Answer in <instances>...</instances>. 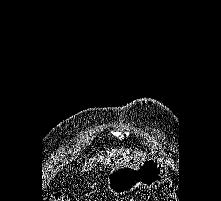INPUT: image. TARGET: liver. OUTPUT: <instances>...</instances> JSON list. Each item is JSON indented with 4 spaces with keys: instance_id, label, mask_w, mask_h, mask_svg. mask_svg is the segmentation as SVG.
<instances>
[{
    "instance_id": "obj_1",
    "label": "liver",
    "mask_w": 221,
    "mask_h": 201,
    "mask_svg": "<svg viewBox=\"0 0 221 201\" xmlns=\"http://www.w3.org/2000/svg\"><path fill=\"white\" fill-rule=\"evenodd\" d=\"M146 155L143 152L131 151L129 149L118 148L111 151L101 152L83 165V171H87L93 167L96 162H101L106 166L122 165L131 163L136 160L145 159Z\"/></svg>"
}]
</instances>
